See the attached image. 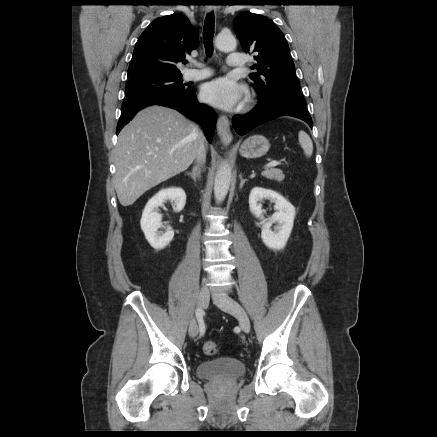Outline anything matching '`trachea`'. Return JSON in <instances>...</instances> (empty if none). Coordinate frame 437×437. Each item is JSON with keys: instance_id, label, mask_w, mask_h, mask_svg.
I'll return each mask as SVG.
<instances>
[{"instance_id": "obj_1", "label": "trachea", "mask_w": 437, "mask_h": 437, "mask_svg": "<svg viewBox=\"0 0 437 437\" xmlns=\"http://www.w3.org/2000/svg\"><path fill=\"white\" fill-rule=\"evenodd\" d=\"M213 36H214V13L206 15L203 29V39L206 54L210 57L213 54Z\"/></svg>"}]
</instances>
